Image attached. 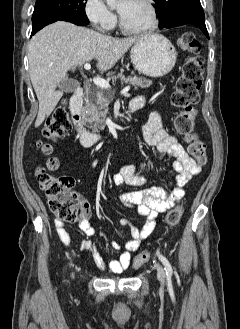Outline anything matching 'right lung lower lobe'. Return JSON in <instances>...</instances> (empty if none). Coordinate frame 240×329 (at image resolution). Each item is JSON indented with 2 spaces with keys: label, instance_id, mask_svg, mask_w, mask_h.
I'll list each match as a JSON object with an SVG mask.
<instances>
[{
  "label": "right lung lower lobe",
  "instance_id": "obj_1",
  "mask_svg": "<svg viewBox=\"0 0 240 329\" xmlns=\"http://www.w3.org/2000/svg\"><path fill=\"white\" fill-rule=\"evenodd\" d=\"M56 21H68V22L74 23L76 25H81V26L87 25L85 23H81L79 21H73V20H61V19L53 18V17L52 18H44V19H39V20H36L35 22H33V28H32L31 36L34 35L40 29H42L44 26H46L50 23L56 22Z\"/></svg>",
  "mask_w": 240,
  "mask_h": 329
}]
</instances>
